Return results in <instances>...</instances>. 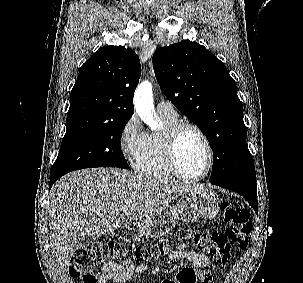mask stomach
<instances>
[{
  "label": "stomach",
  "instance_id": "1",
  "mask_svg": "<svg viewBox=\"0 0 303 283\" xmlns=\"http://www.w3.org/2000/svg\"><path fill=\"white\" fill-rule=\"evenodd\" d=\"M219 198L212 191L199 188L181 196L175 206L138 220L137 231L150 238L168 234L178 221L192 222L197 218L212 219L219 212Z\"/></svg>",
  "mask_w": 303,
  "mask_h": 283
}]
</instances>
